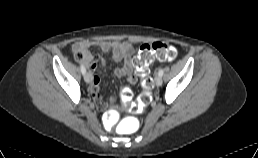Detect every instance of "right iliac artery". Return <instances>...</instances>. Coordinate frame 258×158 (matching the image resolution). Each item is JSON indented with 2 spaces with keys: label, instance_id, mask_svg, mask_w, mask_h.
Instances as JSON below:
<instances>
[{
  "label": "right iliac artery",
  "instance_id": "right-iliac-artery-1",
  "mask_svg": "<svg viewBox=\"0 0 258 158\" xmlns=\"http://www.w3.org/2000/svg\"><path fill=\"white\" fill-rule=\"evenodd\" d=\"M80 68H81L82 74H85L86 73V69H85L83 64L80 65Z\"/></svg>",
  "mask_w": 258,
  "mask_h": 158
}]
</instances>
